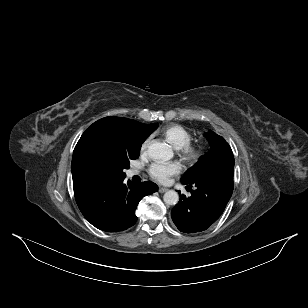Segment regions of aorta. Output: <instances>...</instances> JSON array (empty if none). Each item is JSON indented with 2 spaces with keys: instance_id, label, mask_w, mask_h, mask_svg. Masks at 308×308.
Here are the masks:
<instances>
[{
  "instance_id": "obj_1",
  "label": "aorta",
  "mask_w": 308,
  "mask_h": 308,
  "mask_svg": "<svg viewBox=\"0 0 308 308\" xmlns=\"http://www.w3.org/2000/svg\"><path fill=\"white\" fill-rule=\"evenodd\" d=\"M148 154L155 160L168 161L173 157L171 147L163 142H155L148 147ZM163 200L167 205H175L179 201V195L174 190L165 192Z\"/></svg>"
}]
</instances>
